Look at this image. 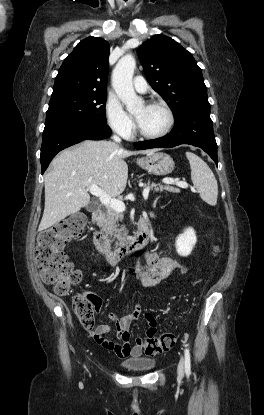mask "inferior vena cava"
Returning a JSON list of instances; mask_svg holds the SVG:
<instances>
[{"instance_id": "602c4592", "label": "inferior vena cava", "mask_w": 264, "mask_h": 415, "mask_svg": "<svg viewBox=\"0 0 264 415\" xmlns=\"http://www.w3.org/2000/svg\"><path fill=\"white\" fill-rule=\"evenodd\" d=\"M113 139L117 143H120L121 142V139L118 136H116V135L113 136Z\"/></svg>"}]
</instances>
